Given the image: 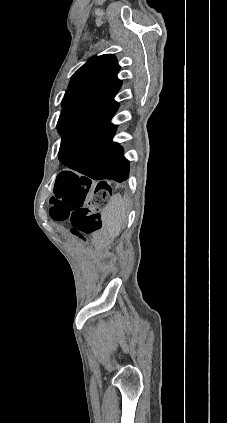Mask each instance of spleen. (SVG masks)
I'll use <instances>...</instances> for the list:
<instances>
[{"instance_id": "obj_1", "label": "spleen", "mask_w": 227, "mask_h": 423, "mask_svg": "<svg viewBox=\"0 0 227 423\" xmlns=\"http://www.w3.org/2000/svg\"><path fill=\"white\" fill-rule=\"evenodd\" d=\"M126 204L121 194L112 196L108 206L102 211V219L112 235H119L126 217Z\"/></svg>"}]
</instances>
